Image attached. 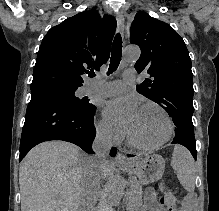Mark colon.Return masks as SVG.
Returning a JSON list of instances; mask_svg holds the SVG:
<instances>
[{"label":"colon","mask_w":219,"mask_h":211,"mask_svg":"<svg viewBox=\"0 0 219 211\" xmlns=\"http://www.w3.org/2000/svg\"><path fill=\"white\" fill-rule=\"evenodd\" d=\"M163 188L165 191H164V195L160 199V202L163 206H165L171 211L176 205V198L172 192H170L165 187Z\"/></svg>","instance_id":"colon-1"}]
</instances>
